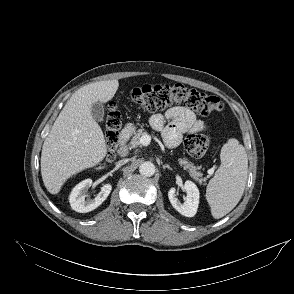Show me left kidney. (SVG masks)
I'll return each instance as SVG.
<instances>
[{"instance_id":"left-kidney-1","label":"left kidney","mask_w":294,"mask_h":294,"mask_svg":"<svg viewBox=\"0 0 294 294\" xmlns=\"http://www.w3.org/2000/svg\"><path fill=\"white\" fill-rule=\"evenodd\" d=\"M184 189L187 193L184 203H181L176 197L175 188H171L168 191V198L173 208L181 215L186 217H193L197 213L200 193L197 186L192 181H186L184 184Z\"/></svg>"}]
</instances>
